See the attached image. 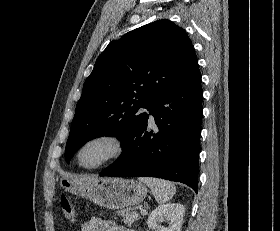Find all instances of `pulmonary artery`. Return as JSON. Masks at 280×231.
Instances as JSON below:
<instances>
[{"label": "pulmonary artery", "instance_id": "1", "mask_svg": "<svg viewBox=\"0 0 280 231\" xmlns=\"http://www.w3.org/2000/svg\"><path fill=\"white\" fill-rule=\"evenodd\" d=\"M149 122L153 123L154 122V118H149Z\"/></svg>", "mask_w": 280, "mask_h": 231}]
</instances>
